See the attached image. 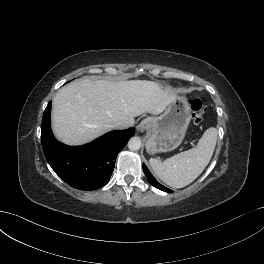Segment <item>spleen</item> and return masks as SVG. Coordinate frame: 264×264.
<instances>
[{
	"label": "spleen",
	"mask_w": 264,
	"mask_h": 264,
	"mask_svg": "<svg viewBox=\"0 0 264 264\" xmlns=\"http://www.w3.org/2000/svg\"><path fill=\"white\" fill-rule=\"evenodd\" d=\"M218 131L207 129L195 148L181 152L161 162L150 159V165L156 176L173 188H182L193 182L206 168L213 155Z\"/></svg>",
	"instance_id": "1"
}]
</instances>
